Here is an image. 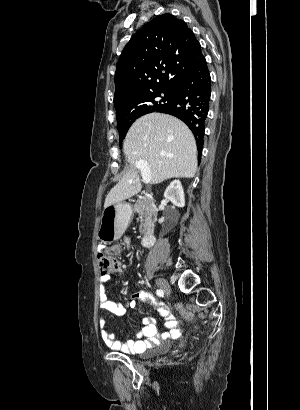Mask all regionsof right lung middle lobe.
Returning a JSON list of instances; mask_svg holds the SVG:
<instances>
[{"label": "right lung middle lobe", "mask_w": 300, "mask_h": 410, "mask_svg": "<svg viewBox=\"0 0 300 410\" xmlns=\"http://www.w3.org/2000/svg\"><path fill=\"white\" fill-rule=\"evenodd\" d=\"M173 99L174 90H162L151 94H147L146 96L142 97L139 101L141 106L139 108L138 115L117 121L118 130L120 134V141H122L125 138V135L129 127L138 117L147 113L158 111L160 108L170 104L173 101Z\"/></svg>", "instance_id": "dd1d6c3e"}]
</instances>
